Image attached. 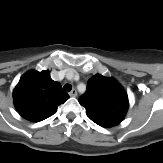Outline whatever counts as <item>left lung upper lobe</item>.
I'll list each match as a JSON object with an SVG mask.
<instances>
[{
    "instance_id": "1",
    "label": "left lung upper lobe",
    "mask_w": 163,
    "mask_h": 163,
    "mask_svg": "<svg viewBox=\"0 0 163 163\" xmlns=\"http://www.w3.org/2000/svg\"><path fill=\"white\" fill-rule=\"evenodd\" d=\"M78 101L85 107L92 121L106 128L118 125L129 107L128 96L123 87L100 74L89 79L87 92Z\"/></svg>"
}]
</instances>
